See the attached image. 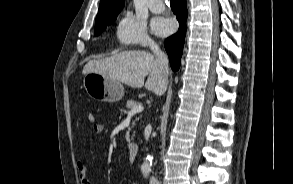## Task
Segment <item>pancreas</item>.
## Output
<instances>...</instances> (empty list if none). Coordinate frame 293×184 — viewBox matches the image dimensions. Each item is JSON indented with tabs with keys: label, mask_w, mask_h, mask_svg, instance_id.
Instances as JSON below:
<instances>
[{
	"label": "pancreas",
	"mask_w": 293,
	"mask_h": 184,
	"mask_svg": "<svg viewBox=\"0 0 293 184\" xmlns=\"http://www.w3.org/2000/svg\"><path fill=\"white\" fill-rule=\"evenodd\" d=\"M138 105V102H136V101H134V100H130V101H128L127 102V104H126V107L128 108V109H132V108H134L135 106H137ZM135 125V122H133L132 123V127ZM126 141L127 142H130V136H129V132H127L126 133Z\"/></svg>",
	"instance_id": "1"
}]
</instances>
